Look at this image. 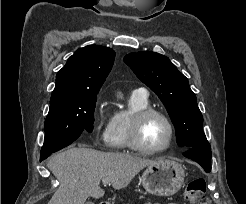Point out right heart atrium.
<instances>
[{
    "mask_svg": "<svg viewBox=\"0 0 246 204\" xmlns=\"http://www.w3.org/2000/svg\"><path fill=\"white\" fill-rule=\"evenodd\" d=\"M110 122L111 116L104 109L102 101L98 99L94 122L95 139L98 143L107 142Z\"/></svg>",
    "mask_w": 246,
    "mask_h": 204,
    "instance_id": "obj_1",
    "label": "right heart atrium"
}]
</instances>
